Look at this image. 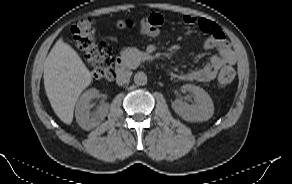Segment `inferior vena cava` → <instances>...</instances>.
<instances>
[{
  "label": "inferior vena cava",
  "instance_id": "1",
  "mask_svg": "<svg viewBox=\"0 0 292 184\" xmlns=\"http://www.w3.org/2000/svg\"><path fill=\"white\" fill-rule=\"evenodd\" d=\"M131 75H132L131 71L119 70L117 72L116 83L118 85H123V84L129 82Z\"/></svg>",
  "mask_w": 292,
  "mask_h": 184
}]
</instances>
